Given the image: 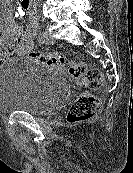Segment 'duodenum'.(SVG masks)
Here are the masks:
<instances>
[{
	"label": "duodenum",
	"instance_id": "410a0bca",
	"mask_svg": "<svg viewBox=\"0 0 133 173\" xmlns=\"http://www.w3.org/2000/svg\"><path fill=\"white\" fill-rule=\"evenodd\" d=\"M26 6L31 5V0H22Z\"/></svg>",
	"mask_w": 133,
	"mask_h": 173
}]
</instances>
